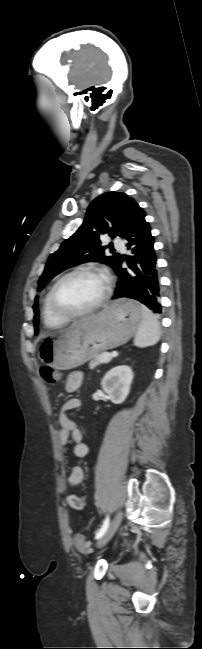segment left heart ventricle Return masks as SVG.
Here are the masks:
<instances>
[{"label": "left heart ventricle", "instance_id": "obj_1", "mask_svg": "<svg viewBox=\"0 0 202 649\" xmlns=\"http://www.w3.org/2000/svg\"><path fill=\"white\" fill-rule=\"evenodd\" d=\"M105 290V280L100 274L83 273L67 278L59 286V302L72 311L84 310L99 300Z\"/></svg>", "mask_w": 202, "mask_h": 649}]
</instances>
